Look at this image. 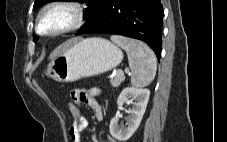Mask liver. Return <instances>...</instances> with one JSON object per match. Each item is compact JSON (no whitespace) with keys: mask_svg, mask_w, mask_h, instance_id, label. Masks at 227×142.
I'll use <instances>...</instances> for the list:
<instances>
[{"mask_svg":"<svg viewBox=\"0 0 227 142\" xmlns=\"http://www.w3.org/2000/svg\"><path fill=\"white\" fill-rule=\"evenodd\" d=\"M78 40H80L79 38H73V39H69L66 42H64L63 44L59 45L56 49H54V51L50 54V59H54L57 56H59L60 54H62L71 44H73L74 42H77Z\"/></svg>","mask_w":227,"mask_h":142,"instance_id":"liver-1","label":"liver"}]
</instances>
